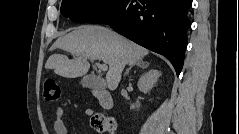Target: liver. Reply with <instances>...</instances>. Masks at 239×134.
<instances>
[{"label":"liver","mask_w":239,"mask_h":134,"mask_svg":"<svg viewBox=\"0 0 239 134\" xmlns=\"http://www.w3.org/2000/svg\"><path fill=\"white\" fill-rule=\"evenodd\" d=\"M52 48L69 52L73 59L59 54L51 55L45 64L46 69H53L55 74L62 77L76 78L88 72V60H101L109 65L106 81L110 90L118 87L127 64H135L148 54L147 49L112 30L90 25L79 26L58 38Z\"/></svg>","instance_id":"liver-1"}]
</instances>
